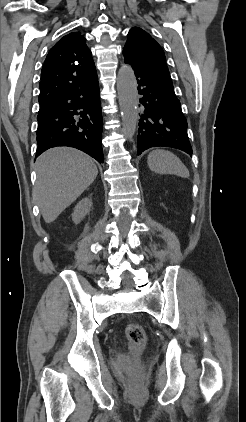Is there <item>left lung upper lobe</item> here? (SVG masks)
I'll return each instance as SVG.
<instances>
[{
  "instance_id": "obj_1",
  "label": "left lung upper lobe",
  "mask_w": 246,
  "mask_h": 422,
  "mask_svg": "<svg viewBox=\"0 0 246 422\" xmlns=\"http://www.w3.org/2000/svg\"><path fill=\"white\" fill-rule=\"evenodd\" d=\"M123 55L124 58L129 59L168 87L173 88L162 48L141 28L133 27L129 31Z\"/></svg>"
}]
</instances>
